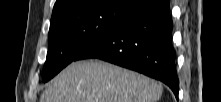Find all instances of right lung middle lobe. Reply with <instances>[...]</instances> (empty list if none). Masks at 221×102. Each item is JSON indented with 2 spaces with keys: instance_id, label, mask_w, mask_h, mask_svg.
<instances>
[{
  "instance_id": "1",
  "label": "right lung middle lobe",
  "mask_w": 221,
  "mask_h": 102,
  "mask_svg": "<svg viewBox=\"0 0 221 102\" xmlns=\"http://www.w3.org/2000/svg\"><path fill=\"white\" fill-rule=\"evenodd\" d=\"M136 8L128 0H84L53 15L48 35L49 49L43 81L53 78Z\"/></svg>"
}]
</instances>
